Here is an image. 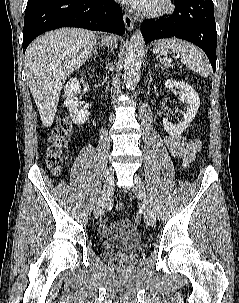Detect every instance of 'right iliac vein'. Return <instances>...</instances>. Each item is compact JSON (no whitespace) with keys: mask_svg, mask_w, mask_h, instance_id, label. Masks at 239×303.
I'll use <instances>...</instances> for the list:
<instances>
[{"mask_svg":"<svg viewBox=\"0 0 239 303\" xmlns=\"http://www.w3.org/2000/svg\"><path fill=\"white\" fill-rule=\"evenodd\" d=\"M105 177V183L103 187V191L101 196L99 197L98 201L96 202L95 208H94V216L96 218L100 217L103 215L107 205H108V193L113 185L114 182V172L111 167H107L104 173Z\"/></svg>","mask_w":239,"mask_h":303,"instance_id":"1","label":"right iliac vein"}]
</instances>
